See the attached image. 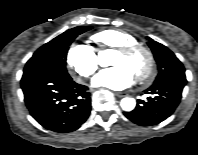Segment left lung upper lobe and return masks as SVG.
<instances>
[{
    "label": "left lung upper lobe",
    "mask_w": 198,
    "mask_h": 155,
    "mask_svg": "<svg viewBox=\"0 0 198 155\" xmlns=\"http://www.w3.org/2000/svg\"><path fill=\"white\" fill-rule=\"evenodd\" d=\"M147 39L149 40L148 45L154 54L159 70L153 84L173 78L186 79L185 68L174 53L166 46L153 41L151 38Z\"/></svg>",
    "instance_id": "left-lung-upper-lobe-1"
}]
</instances>
